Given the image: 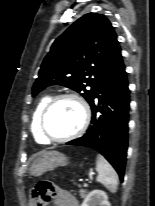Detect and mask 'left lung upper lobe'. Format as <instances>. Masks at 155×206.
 <instances>
[{
  "label": "left lung upper lobe",
  "mask_w": 155,
  "mask_h": 206,
  "mask_svg": "<svg viewBox=\"0 0 155 206\" xmlns=\"http://www.w3.org/2000/svg\"><path fill=\"white\" fill-rule=\"evenodd\" d=\"M120 57L121 48L109 20L101 14L88 13L54 41L32 95L50 85H63L81 93L90 103Z\"/></svg>",
  "instance_id": "obj_1"
}]
</instances>
